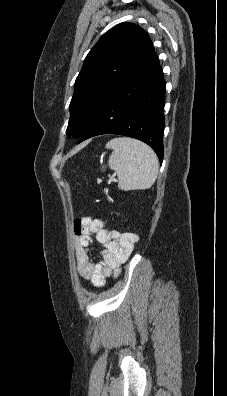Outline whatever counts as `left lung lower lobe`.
Masks as SVG:
<instances>
[{
  "mask_svg": "<svg viewBox=\"0 0 227 396\" xmlns=\"http://www.w3.org/2000/svg\"><path fill=\"white\" fill-rule=\"evenodd\" d=\"M165 82L153 50L102 102L78 143L102 134L139 139L163 161Z\"/></svg>",
  "mask_w": 227,
  "mask_h": 396,
  "instance_id": "0a47b994",
  "label": "left lung lower lobe"
}]
</instances>
